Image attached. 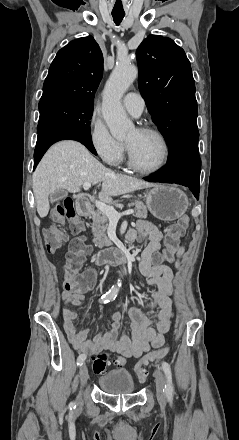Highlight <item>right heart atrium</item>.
<instances>
[{"mask_svg": "<svg viewBox=\"0 0 239 440\" xmlns=\"http://www.w3.org/2000/svg\"><path fill=\"white\" fill-rule=\"evenodd\" d=\"M89 140L100 158L111 166L121 164L125 155V144L115 139L102 119L93 115L89 124Z\"/></svg>", "mask_w": 239, "mask_h": 440, "instance_id": "right-heart-atrium-1", "label": "right heart atrium"}]
</instances>
